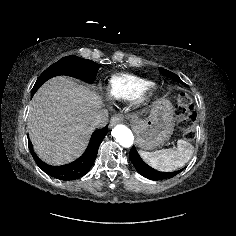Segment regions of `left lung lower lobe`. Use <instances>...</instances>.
I'll return each mask as SVG.
<instances>
[{"mask_svg": "<svg viewBox=\"0 0 236 236\" xmlns=\"http://www.w3.org/2000/svg\"><path fill=\"white\" fill-rule=\"evenodd\" d=\"M129 158H130L132 164L134 165V167L136 168V170L138 171V173H140L145 178H148L151 180H163V179L172 178L173 176L177 175L178 173H180L181 171L184 170V168H183L181 170L174 171V172L157 171V170L151 168L150 166H148L141 159V157L139 156L135 147L131 148L130 153H129ZM150 170H152L154 172H150Z\"/></svg>", "mask_w": 236, "mask_h": 236, "instance_id": "0a47b994", "label": "left lung lower lobe"}]
</instances>
